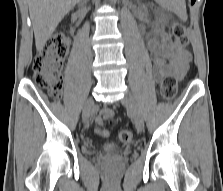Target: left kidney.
I'll use <instances>...</instances> for the list:
<instances>
[{
    "label": "left kidney",
    "instance_id": "1",
    "mask_svg": "<svg viewBox=\"0 0 223 191\" xmlns=\"http://www.w3.org/2000/svg\"><path fill=\"white\" fill-rule=\"evenodd\" d=\"M162 22H164V21H162V20H160V21H159V23H161V24H162V27H164V25H163V23H162Z\"/></svg>",
    "mask_w": 223,
    "mask_h": 191
}]
</instances>
